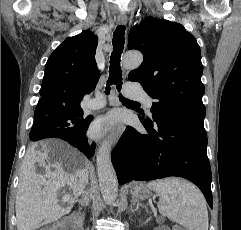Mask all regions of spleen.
I'll list each match as a JSON object with an SVG mask.
<instances>
[{
  "instance_id": "obj_1",
  "label": "spleen",
  "mask_w": 241,
  "mask_h": 230,
  "mask_svg": "<svg viewBox=\"0 0 241 230\" xmlns=\"http://www.w3.org/2000/svg\"><path fill=\"white\" fill-rule=\"evenodd\" d=\"M148 187L160 196L161 215L188 230H208V211L202 193L193 184L178 178L156 180Z\"/></svg>"
}]
</instances>
